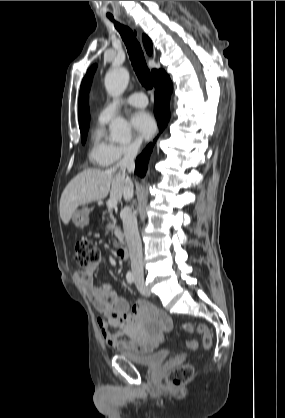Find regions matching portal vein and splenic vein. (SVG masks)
I'll use <instances>...</instances> for the list:
<instances>
[{"label": "portal vein and splenic vein", "mask_w": 285, "mask_h": 418, "mask_svg": "<svg viewBox=\"0 0 285 418\" xmlns=\"http://www.w3.org/2000/svg\"><path fill=\"white\" fill-rule=\"evenodd\" d=\"M117 206V200L116 199H109L107 202L108 210L111 211Z\"/></svg>", "instance_id": "portal-vein-and-splenic-vein-1"}]
</instances>
